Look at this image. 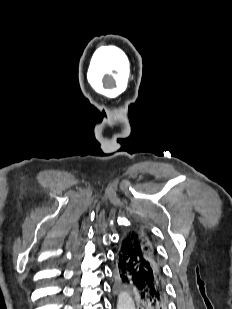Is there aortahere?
Returning <instances> with one entry per match:
<instances>
[{"label": "aorta", "mask_w": 232, "mask_h": 309, "mask_svg": "<svg viewBox=\"0 0 232 309\" xmlns=\"http://www.w3.org/2000/svg\"><path fill=\"white\" fill-rule=\"evenodd\" d=\"M117 309H135L132 297L127 292H122L118 296Z\"/></svg>", "instance_id": "obj_1"}]
</instances>
